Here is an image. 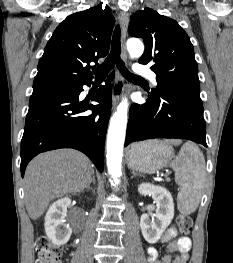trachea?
<instances>
[{
	"instance_id": "trachea-1",
	"label": "trachea",
	"mask_w": 233,
	"mask_h": 263,
	"mask_svg": "<svg viewBox=\"0 0 233 263\" xmlns=\"http://www.w3.org/2000/svg\"><path fill=\"white\" fill-rule=\"evenodd\" d=\"M120 28L117 26L114 30L112 45H111V53L106 58V60L97 67L93 72L95 74L96 79L105 78L107 76L108 71L116 64L122 75L131 80V81H143L144 79L134 75L129 72V70L124 66L123 62L120 60Z\"/></svg>"
}]
</instances>
